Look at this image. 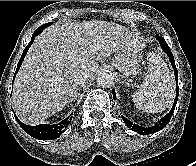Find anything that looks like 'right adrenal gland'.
Wrapping results in <instances>:
<instances>
[{"mask_svg": "<svg viewBox=\"0 0 196 166\" xmlns=\"http://www.w3.org/2000/svg\"><path fill=\"white\" fill-rule=\"evenodd\" d=\"M77 95H78V88L76 89L74 96L72 97V99L69 102L75 101L77 98Z\"/></svg>", "mask_w": 196, "mask_h": 166, "instance_id": "obj_1", "label": "right adrenal gland"}]
</instances>
